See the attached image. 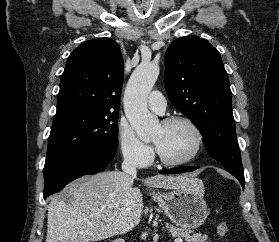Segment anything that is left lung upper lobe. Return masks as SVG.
<instances>
[{
	"label": "left lung upper lobe",
	"instance_id": "5c2ea615",
	"mask_svg": "<svg viewBox=\"0 0 279 242\" xmlns=\"http://www.w3.org/2000/svg\"><path fill=\"white\" fill-rule=\"evenodd\" d=\"M165 88L171 103L202 133L209 155L226 171L244 176L232 93L220 53L197 36L176 39L165 55Z\"/></svg>",
	"mask_w": 279,
	"mask_h": 242
}]
</instances>
